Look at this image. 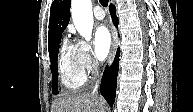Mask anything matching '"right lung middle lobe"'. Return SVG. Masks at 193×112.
<instances>
[{
    "label": "right lung middle lobe",
    "instance_id": "1",
    "mask_svg": "<svg viewBox=\"0 0 193 112\" xmlns=\"http://www.w3.org/2000/svg\"><path fill=\"white\" fill-rule=\"evenodd\" d=\"M61 41V35H59L55 41L52 43V45L49 46V56H50V62H51V73H52V81H53V87H52V93L58 94V69H57V60H58V52H59V44Z\"/></svg>",
    "mask_w": 193,
    "mask_h": 112
}]
</instances>
